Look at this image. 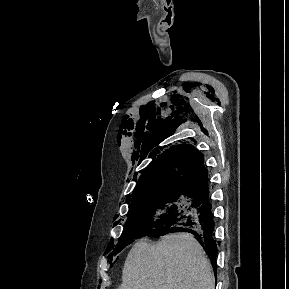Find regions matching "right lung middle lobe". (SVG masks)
Masks as SVG:
<instances>
[{
  "label": "right lung middle lobe",
  "mask_w": 289,
  "mask_h": 289,
  "mask_svg": "<svg viewBox=\"0 0 289 289\" xmlns=\"http://www.w3.org/2000/svg\"><path fill=\"white\" fill-rule=\"evenodd\" d=\"M198 204V196L176 193L133 199L128 219L114 253L120 252L129 242L137 238L166 232L177 226L190 216Z\"/></svg>",
  "instance_id": "1"
}]
</instances>
